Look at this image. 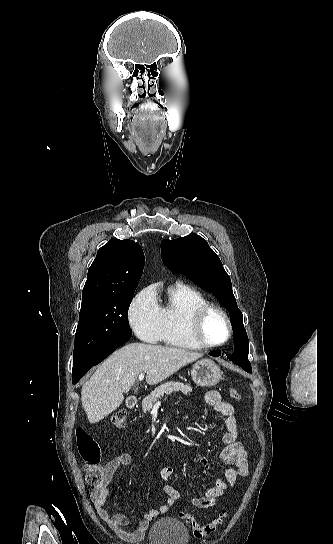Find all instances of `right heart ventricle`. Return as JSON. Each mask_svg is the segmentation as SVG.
Masks as SVG:
<instances>
[{
  "label": "right heart ventricle",
  "instance_id": "right-heart-ventricle-1",
  "mask_svg": "<svg viewBox=\"0 0 333 544\" xmlns=\"http://www.w3.org/2000/svg\"><path fill=\"white\" fill-rule=\"evenodd\" d=\"M207 303L206 297L189 285L176 283L169 287L166 301L160 306L163 321L161 340L179 348H202L191 335L190 321L194 311Z\"/></svg>",
  "mask_w": 333,
  "mask_h": 544
}]
</instances>
